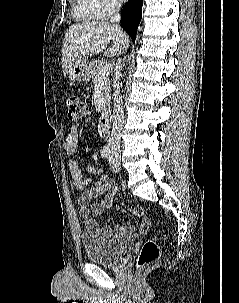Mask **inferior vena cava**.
<instances>
[{
  "instance_id": "obj_1",
  "label": "inferior vena cava",
  "mask_w": 239,
  "mask_h": 303,
  "mask_svg": "<svg viewBox=\"0 0 239 303\" xmlns=\"http://www.w3.org/2000/svg\"><path fill=\"white\" fill-rule=\"evenodd\" d=\"M119 4L115 5L116 11L119 9ZM121 19V16L116 12L112 17L110 22L114 24L115 27L119 28L116 23ZM121 54V53H119ZM122 68L121 59H118L116 63L114 72L115 77L113 79V88H114V108H113V127L109 137V147L111 151L120 150L121 147V130L123 127L124 121V111H123V101L120 94V70Z\"/></svg>"
}]
</instances>
